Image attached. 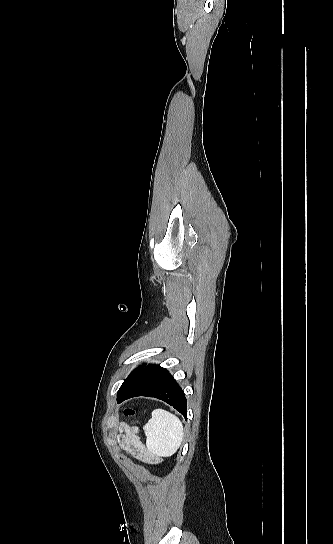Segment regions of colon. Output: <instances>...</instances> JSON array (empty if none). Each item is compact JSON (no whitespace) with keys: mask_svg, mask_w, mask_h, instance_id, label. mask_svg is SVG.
I'll return each instance as SVG.
<instances>
[{"mask_svg":"<svg viewBox=\"0 0 333 544\" xmlns=\"http://www.w3.org/2000/svg\"><path fill=\"white\" fill-rule=\"evenodd\" d=\"M124 414H125L126 416H132V415L134 414V410L131 409V408H126V409L124 410Z\"/></svg>","mask_w":333,"mask_h":544,"instance_id":"1","label":"colon"}]
</instances>
